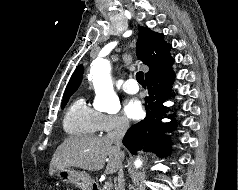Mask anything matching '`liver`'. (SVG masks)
<instances>
[{
	"instance_id": "1",
	"label": "liver",
	"mask_w": 238,
	"mask_h": 190,
	"mask_svg": "<svg viewBox=\"0 0 238 190\" xmlns=\"http://www.w3.org/2000/svg\"><path fill=\"white\" fill-rule=\"evenodd\" d=\"M124 153L107 137H69L56 149L49 167L52 176L58 169L77 167L88 171L103 169L113 174L120 169Z\"/></svg>"
}]
</instances>
